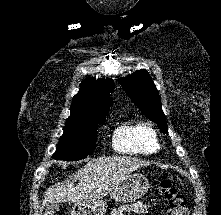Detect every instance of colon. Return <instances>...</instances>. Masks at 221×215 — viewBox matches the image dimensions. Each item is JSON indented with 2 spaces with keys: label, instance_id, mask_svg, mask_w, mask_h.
Segmentation results:
<instances>
[{
  "label": "colon",
  "instance_id": "obj_1",
  "mask_svg": "<svg viewBox=\"0 0 221 215\" xmlns=\"http://www.w3.org/2000/svg\"><path fill=\"white\" fill-rule=\"evenodd\" d=\"M158 189L169 205L165 215H189L186 198L178 192L169 177L159 183Z\"/></svg>",
  "mask_w": 221,
  "mask_h": 215
}]
</instances>
